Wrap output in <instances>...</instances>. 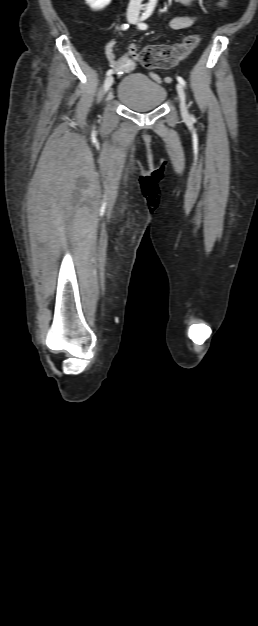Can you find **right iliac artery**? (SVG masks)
Returning a JSON list of instances; mask_svg holds the SVG:
<instances>
[{"mask_svg": "<svg viewBox=\"0 0 258 626\" xmlns=\"http://www.w3.org/2000/svg\"><path fill=\"white\" fill-rule=\"evenodd\" d=\"M128 28H129V25H128V24H122V26H121V29H122V30H126V29H128ZM112 73H113V70H112V69H109V70L106 72V75H107V76H109V75H111Z\"/></svg>", "mask_w": 258, "mask_h": 626, "instance_id": "82829eb1", "label": "right iliac artery"}]
</instances>
